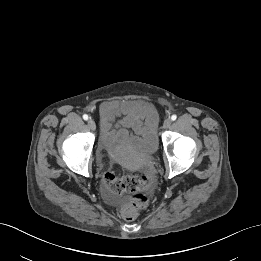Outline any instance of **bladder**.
Masks as SVG:
<instances>
[{
	"mask_svg": "<svg viewBox=\"0 0 261 261\" xmlns=\"http://www.w3.org/2000/svg\"><path fill=\"white\" fill-rule=\"evenodd\" d=\"M99 146L113 159L126 163L131 154L152 156L157 150V141L154 134L150 132L119 131L110 137L102 136Z\"/></svg>",
	"mask_w": 261,
	"mask_h": 261,
	"instance_id": "1",
	"label": "bladder"
}]
</instances>
